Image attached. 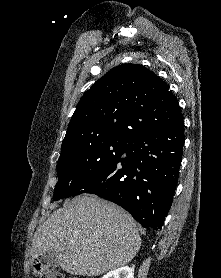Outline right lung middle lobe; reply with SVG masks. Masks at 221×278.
I'll list each match as a JSON object with an SVG mask.
<instances>
[{"mask_svg": "<svg viewBox=\"0 0 221 278\" xmlns=\"http://www.w3.org/2000/svg\"><path fill=\"white\" fill-rule=\"evenodd\" d=\"M128 142L124 138H94L61 151L53 200L72 196L81 185L122 157Z\"/></svg>", "mask_w": 221, "mask_h": 278, "instance_id": "obj_1", "label": "right lung middle lobe"}]
</instances>
